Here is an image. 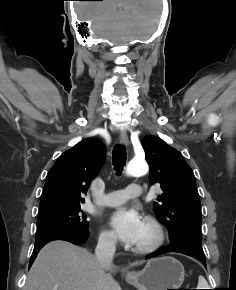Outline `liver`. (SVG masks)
Returning <instances> with one entry per match:
<instances>
[{
  "mask_svg": "<svg viewBox=\"0 0 236 290\" xmlns=\"http://www.w3.org/2000/svg\"><path fill=\"white\" fill-rule=\"evenodd\" d=\"M114 272L112 263L102 266L87 249L67 241H52L38 253L24 290H121L112 277Z\"/></svg>",
  "mask_w": 236,
  "mask_h": 290,
  "instance_id": "6515ba94",
  "label": "liver"
}]
</instances>
